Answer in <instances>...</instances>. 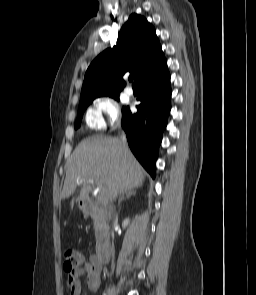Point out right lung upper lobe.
<instances>
[{
	"mask_svg": "<svg viewBox=\"0 0 256 295\" xmlns=\"http://www.w3.org/2000/svg\"><path fill=\"white\" fill-rule=\"evenodd\" d=\"M165 59L154 27L142 16L130 15L119 31L117 45L100 53L88 67L81 98L119 95L120 77L127 71L135 82Z\"/></svg>",
	"mask_w": 256,
	"mask_h": 295,
	"instance_id": "obj_1",
	"label": "right lung upper lobe"
}]
</instances>
